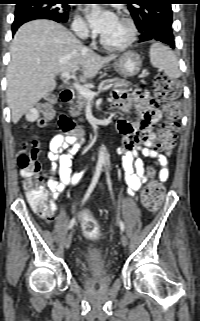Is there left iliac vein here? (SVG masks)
<instances>
[{
	"label": "left iliac vein",
	"instance_id": "1",
	"mask_svg": "<svg viewBox=\"0 0 200 321\" xmlns=\"http://www.w3.org/2000/svg\"><path fill=\"white\" fill-rule=\"evenodd\" d=\"M121 243L123 246H126L128 244V239L125 235L121 237Z\"/></svg>",
	"mask_w": 200,
	"mask_h": 321
}]
</instances>
